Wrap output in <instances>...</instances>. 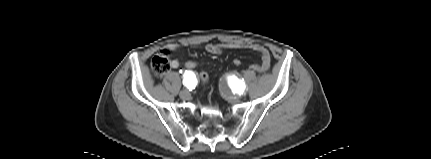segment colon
<instances>
[{"mask_svg":"<svg viewBox=\"0 0 431 159\" xmlns=\"http://www.w3.org/2000/svg\"><path fill=\"white\" fill-rule=\"evenodd\" d=\"M204 61L201 58H195V59H188V61L185 62V69L187 71H196L199 67L200 69V80L201 83L204 86H207L209 83V77H208V67L207 65H203ZM241 61L240 59H233V66L238 67L240 66ZM151 68L153 73L157 77H162L165 75L169 69H170V62L168 58L164 54L157 55L153 58L151 62Z\"/></svg>","mask_w":431,"mask_h":159,"instance_id":"1","label":"colon"}]
</instances>
